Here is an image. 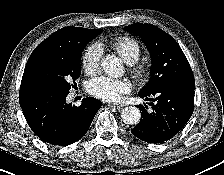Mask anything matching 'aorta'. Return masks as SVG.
Wrapping results in <instances>:
<instances>
[{
    "label": "aorta",
    "instance_id": "aorta-1",
    "mask_svg": "<svg viewBox=\"0 0 224 175\" xmlns=\"http://www.w3.org/2000/svg\"><path fill=\"white\" fill-rule=\"evenodd\" d=\"M101 67L104 72L111 76H122L124 73V66L117 56L107 55L101 61ZM121 118L125 124L136 125L141 119L140 110L135 106H129L122 110Z\"/></svg>",
    "mask_w": 224,
    "mask_h": 175
}]
</instances>
